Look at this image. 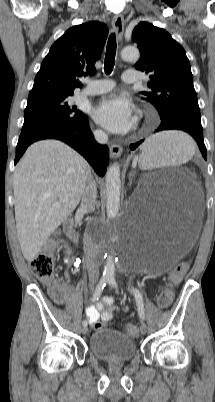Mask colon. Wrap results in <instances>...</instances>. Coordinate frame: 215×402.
<instances>
[{"instance_id": "colon-1", "label": "colon", "mask_w": 215, "mask_h": 402, "mask_svg": "<svg viewBox=\"0 0 215 402\" xmlns=\"http://www.w3.org/2000/svg\"><path fill=\"white\" fill-rule=\"evenodd\" d=\"M57 242L55 240L49 241L39 253L30 261V269L32 273L44 284L50 287V295L56 302H62L64 299V291L62 286L55 281L54 262L52 252L56 247ZM187 270V263L179 264L171 274L173 282L181 280L183 274ZM173 299V294L170 290L165 289L158 297V304L162 308L170 306ZM96 327H100L101 324L97 322ZM125 333L130 337H136L138 335V328L136 325L129 323L125 326Z\"/></svg>"}]
</instances>
